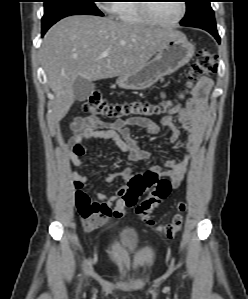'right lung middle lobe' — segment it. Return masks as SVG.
Here are the masks:
<instances>
[{"instance_id": "obj_1", "label": "right lung middle lobe", "mask_w": 248, "mask_h": 299, "mask_svg": "<svg viewBox=\"0 0 248 299\" xmlns=\"http://www.w3.org/2000/svg\"><path fill=\"white\" fill-rule=\"evenodd\" d=\"M44 9L42 31H47L58 20L70 15L103 16L94 0H44Z\"/></svg>"}]
</instances>
